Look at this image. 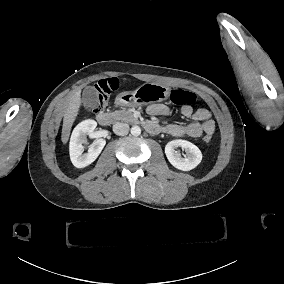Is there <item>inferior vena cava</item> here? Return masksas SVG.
I'll return each mask as SVG.
<instances>
[{
  "mask_svg": "<svg viewBox=\"0 0 284 284\" xmlns=\"http://www.w3.org/2000/svg\"><path fill=\"white\" fill-rule=\"evenodd\" d=\"M112 129L115 134L124 136L129 132V125L127 123L118 122L113 125Z\"/></svg>",
  "mask_w": 284,
  "mask_h": 284,
  "instance_id": "inferior-vena-cava-1",
  "label": "inferior vena cava"
}]
</instances>
